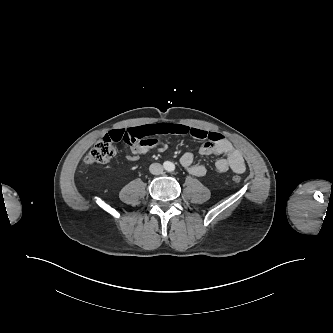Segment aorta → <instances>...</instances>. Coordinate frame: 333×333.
<instances>
[{
	"label": "aorta",
	"instance_id": "obj_1",
	"mask_svg": "<svg viewBox=\"0 0 333 333\" xmlns=\"http://www.w3.org/2000/svg\"><path fill=\"white\" fill-rule=\"evenodd\" d=\"M164 168H165L166 171L171 172V171L175 170V165L171 161H165L164 162Z\"/></svg>",
	"mask_w": 333,
	"mask_h": 333
}]
</instances>
